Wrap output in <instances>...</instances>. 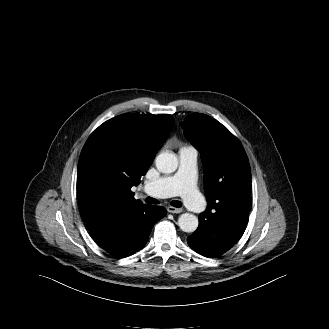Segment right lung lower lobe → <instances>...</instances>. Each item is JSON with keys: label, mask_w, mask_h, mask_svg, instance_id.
<instances>
[{"label": "right lung lower lobe", "mask_w": 329, "mask_h": 329, "mask_svg": "<svg viewBox=\"0 0 329 329\" xmlns=\"http://www.w3.org/2000/svg\"><path fill=\"white\" fill-rule=\"evenodd\" d=\"M165 215L164 207L140 204L104 210L86 223L104 250L123 257L142 249L154 224Z\"/></svg>", "instance_id": "right-lung-lower-lobe-1"}]
</instances>
